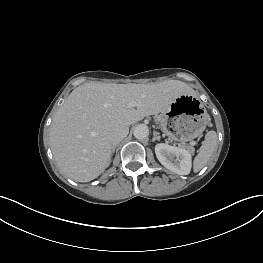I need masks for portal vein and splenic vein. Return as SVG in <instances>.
Here are the masks:
<instances>
[{"label": "portal vein and splenic vein", "instance_id": "18ae733b", "mask_svg": "<svg viewBox=\"0 0 263 263\" xmlns=\"http://www.w3.org/2000/svg\"><path fill=\"white\" fill-rule=\"evenodd\" d=\"M135 106H136V103H135V102L129 103V107H135ZM190 144H191V145H194V142L191 141Z\"/></svg>", "mask_w": 263, "mask_h": 263}]
</instances>
